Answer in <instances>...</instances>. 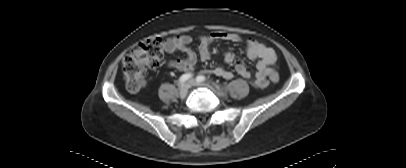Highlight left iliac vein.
Listing matches in <instances>:
<instances>
[{
    "instance_id": "obj_1",
    "label": "left iliac vein",
    "mask_w": 406,
    "mask_h": 168,
    "mask_svg": "<svg viewBox=\"0 0 406 168\" xmlns=\"http://www.w3.org/2000/svg\"><path fill=\"white\" fill-rule=\"evenodd\" d=\"M190 84H191L192 86H205L204 83H200V82H197V81H195V80H190Z\"/></svg>"
}]
</instances>
